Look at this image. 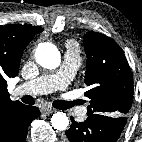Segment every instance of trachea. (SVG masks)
<instances>
[{
	"mask_svg": "<svg viewBox=\"0 0 142 142\" xmlns=\"http://www.w3.org/2000/svg\"><path fill=\"white\" fill-rule=\"evenodd\" d=\"M22 101L26 104H34V99L27 95L22 98ZM79 101H63V100H56L53 102V106L60 110H67L75 105H78Z\"/></svg>",
	"mask_w": 142,
	"mask_h": 142,
	"instance_id": "trachea-1",
	"label": "trachea"
}]
</instances>
